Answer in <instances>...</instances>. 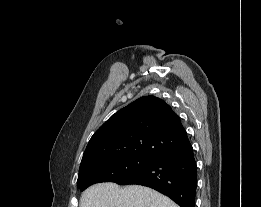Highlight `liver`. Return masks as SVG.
<instances>
[{"instance_id":"1","label":"liver","mask_w":261,"mask_h":207,"mask_svg":"<svg viewBox=\"0 0 261 207\" xmlns=\"http://www.w3.org/2000/svg\"><path fill=\"white\" fill-rule=\"evenodd\" d=\"M80 207H179L170 198L140 185L120 188L112 182L98 183L87 188Z\"/></svg>"}]
</instances>
